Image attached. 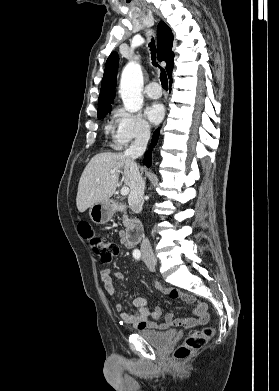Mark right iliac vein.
Here are the masks:
<instances>
[{"mask_svg":"<svg viewBox=\"0 0 279 391\" xmlns=\"http://www.w3.org/2000/svg\"><path fill=\"white\" fill-rule=\"evenodd\" d=\"M145 262L147 265L153 266V267H155L157 264L156 259L152 256L145 257Z\"/></svg>","mask_w":279,"mask_h":391,"instance_id":"obj_1","label":"right iliac vein"}]
</instances>
